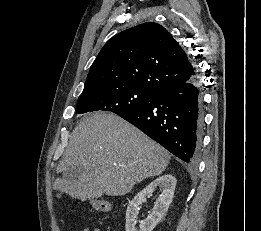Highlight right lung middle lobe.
<instances>
[{"mask_svg": "<svg viewBox=\"0 0 261 231\" xmlns=\"http://www.w3.org/2000/svg\"><path fill=\"white\" fill-rule=\"evenodd\" d=\"M156 95L138 87H123L114 90L96 91L80 95L76 112L111 111L121 115L149 103Z\"/></svg>", "mask_w": 261, "mask_h": 231, "instance_id": "1", "label": "right lung middle lobe"}]
</instances>
